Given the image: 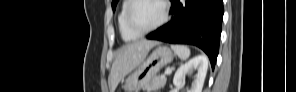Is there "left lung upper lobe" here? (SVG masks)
Returning a JSON list of instances; mask_svg holds the SVG:
<instances>
[{"label": "left lung upper lobe", "mask_w": 296, "mask_h": 92, "mask_svg": "<svg viewBox=\"0 0 296 92\" xmlns=\"http://www.w3.org/2000/svg\"><path fill=\"white\" fill-rule=\"evenodd\" d=\"M118 1L119 0H112V8H113V11L115 10Z\"/></svg>", "instance_id": "left-lung-upper-lobe-1"}]
</instances>
